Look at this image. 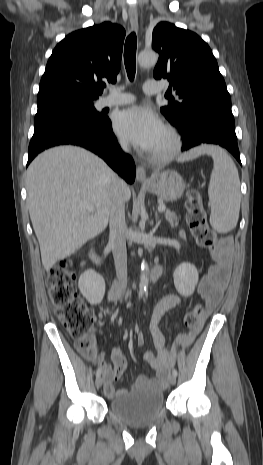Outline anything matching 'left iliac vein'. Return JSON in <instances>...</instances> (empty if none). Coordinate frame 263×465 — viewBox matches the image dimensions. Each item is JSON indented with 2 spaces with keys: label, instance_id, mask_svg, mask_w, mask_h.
I'll list each match as a JSON object with an SVG mask.
<instances>
[{
  "label": "left iliac vein",
  "instance_id": "1",
  "mask_svg": "<svg viewBox=\"0 0 263 465\" xmlns=\"http://www.w3.org/2000/svg\"><path fill=\"white\" fill-rule=\"evenodd\" d=\"M169 382L171 385H175L176 384V376L175 375H171L169 377Z\"/></svg>",
  "mask_w": 263,
  "mask_h": 465
}]
</instances>
